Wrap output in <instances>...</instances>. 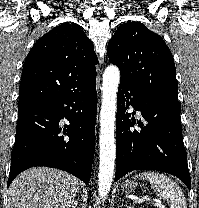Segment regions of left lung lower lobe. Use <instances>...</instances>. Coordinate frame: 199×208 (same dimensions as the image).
<instances>
[{"label":"left lung lower lobe","instance_id":"obj_1","mask_svg":"<svg viewBox=\"0 0 199 208\" xmlns=\"http://www.w3.org/2000/svg\"><path fill=\"white\" fill-rule=\"evenodd\" d=\"M129 105L144 122L134 129ZM179 102L151 95L121 79L117 94L115 181L130 171L157 170L181 179L188 189L191 179L183 144ZM132 113V115H134Z\"/></svg>","mask_w":199,"mask_h":208}]
</instances>
